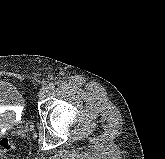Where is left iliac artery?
I'll use <instances>...</instances> for the list:
<instances>
[{"instance_id": "44dca946", "label": "left iliac artery", "mask_w": 165, "mask_h": 159, "mask_svg": "<svg viewBox=\"0 0 165 159\" xmlns=\"http://www.w3.org/2000/svg\"><path fill=\"white\" fill-rule=\"evenodd\" d=\"M47 88L49 90H53L55 88V84L54 83H50Z\"/></svg>"}]
</instances>
